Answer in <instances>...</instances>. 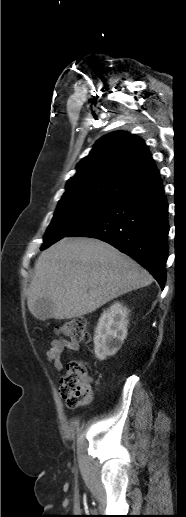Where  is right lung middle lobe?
Segmentation results:
<instances>
[{
    "mask_svg": "<svg viewBox=\"0 0 186 517\" xmlns=\"http://www.w3.org/2000/svg\"><path fill=\"white\" fill-rule=\"evenodd\" d=\"M118 199L93 195L62 197L44 236L42 250L66 237Z\"/></svg>",
    "mask_w": 186,
    "mask_h": 517,
    "instance_id": "dd1d6c3e",
    "label": "right lung middle lobe"
}]
</instances>
